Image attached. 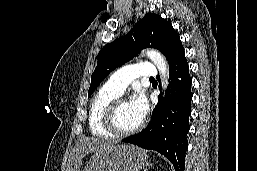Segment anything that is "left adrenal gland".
I'll use <instances>...</instances> for the list:
<instances>
[{
  "instance_id": "left-adrenal-gland-1",
  "label": "left adrenal gland",
  "mask_w": 257,
  "mask_h": 171,
  "mask_svg": "<svg viewBox=\"0 0 257 171\" xmlns=\"http://www.w3.org/2000/svg\"><path fill=\"white\" fill-rule=\"evenodd\" d=\"M152 167V164H147V167L145 168L144 171H148V169H150Z\"/></svg>"
}]
</instances>
